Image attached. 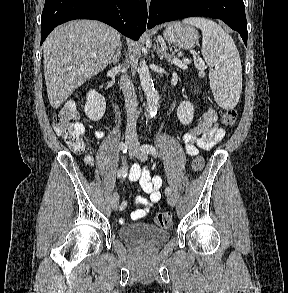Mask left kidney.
Segmentation results:
<instances>
[{
  "label": "left kidney",
  "instance_id": "left-kidney-1",
  "mask_svg": "<svg viewBox=\"0 0 288 293\" xmlns=\"http://www.w3.org/2000/svg\"><path fill=\"white\" fill-rule=\"evenodd\" d=\"M177 116L182 124H190L194 117V106L190 102H181L177 108Z\"/></svg>",
  "mask_w": 288,
  "mask_h": 293
}]
</instances>
